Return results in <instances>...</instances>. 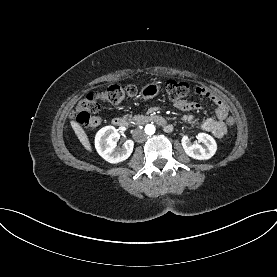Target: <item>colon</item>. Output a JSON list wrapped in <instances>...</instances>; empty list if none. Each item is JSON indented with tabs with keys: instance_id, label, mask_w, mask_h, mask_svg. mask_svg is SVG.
Returning a JSON list of instances; mask_svg holds the SVG:
<instances>
[{
	"instance_id": "colon-1",
	"label": "colon",
	"mask_w": 277,
	"mask_h": 277,
	"mask_svg": "<svg viewBox=\"0 0 277 277\" xmlns=\"http://www.w3.org/2000/svg\"><path fill=\"white\" fill-rule=\"evenodd\" d=\"M166 91L169 98L176 103L185 101L190 94V86L185 81L169 79L166 82ZM135 93L136 88L132 84L125 86L112 84L103 90H92L79 102L74 112V118L84 128H95L101 123L100 102L118 104L125 98L134 96ZM223 122L228 130L234 129L236 121L233 116H226Z\"/></svg>"
}]
</instances>
